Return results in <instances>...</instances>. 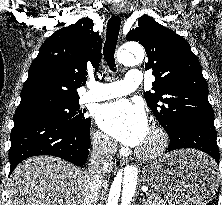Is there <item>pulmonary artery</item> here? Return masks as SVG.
Segmentation results:
<instances>
[{"mask_svg": "<svg viewBox=\"0 0 222 205\" xmlns=\"http://www.w3.org/2000/svg\"><path fill=\"white\" fill-rule=\"evenodd\" d=\"M140 84V70L129 69L124 80L112 83H92L91 88L84 95V101L98 102L124 96L134 91Z\"/></svg>", "mask_w": 222, "mask_h": 205, "instance_id": "1", "label": "pulmonary artery"}]
</instances>
